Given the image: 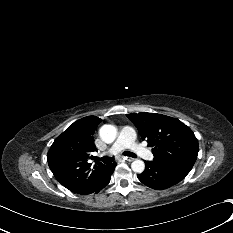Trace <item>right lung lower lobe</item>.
<instances>
[{
    "instance_id": "obj_1",
    "label": "right lung lower lobe",
    "mask_w": 233,
    "mask_h": 233,
    "mask_svg": "<svg viewBox=\"0 0 233 233\" xmlns=\"http://www.w3.org/2000/svg\"><path fill=\"white\" fill-rule=\"evenodd\" d=\"M115 166L116 163L108 166L102 177L95 183V185L92 186L88 194L98 193L101 189L108 185V183L110 182V177L114 172Z\"/></svg>"
}]
</instances>
